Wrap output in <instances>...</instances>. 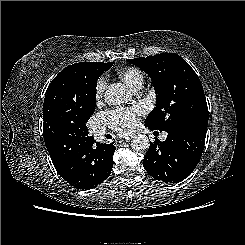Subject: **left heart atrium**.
<instances>
[{
	"instance_id": "39dd6f15",
	"label": "left heart atrium",
	"mask_w": 245,
	"mask_h": 245,
	"mask_svg": "<svg viewBox=\"0 0 245 245\" xmlns=\"http://www.w3.org/2000/svg\"><path fill=\"white\" fill-rule=\"evenodd\" d=\"M141 114L139 107L133 108H116L103 114L105 122L120 134L132 132L137 124V115Z\"/></svg>"
}]
</instances>
